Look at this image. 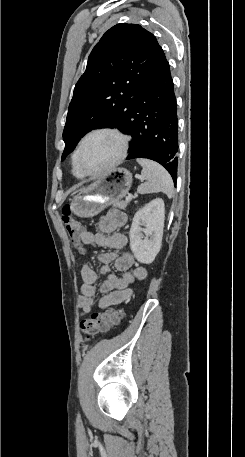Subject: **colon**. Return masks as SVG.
I'll list each match as a JSON object with an SVG mask.
<instances>
[{"label": "colon", "instance_id": "colon-1", "mask_svg": "<svg viewBox=\"0 0 245 457\" xmlns=\"http://www.w3.org/2000/svg\"><path fill=\"white\" fill-rule=\"evenodd\" d=\"M62 222L72 243L76 247L81 248L82 229L72 217L69 205L64 206L62 210ZM122 317V310L117 308L108 309L103 313H93L91 317L81 321L80 329L84 335L90 337L97 333L107 332L112 327L118 325Z\"/></svg>", "mask_w": 245, "mask_h": 457}]
</instances>
